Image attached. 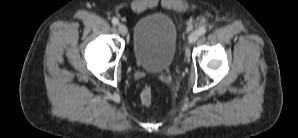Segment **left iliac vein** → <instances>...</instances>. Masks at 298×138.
Instances as JSON below:
<instances>
[{
  "instance_id": "left-iliac-vein-1",
  "label": "left iliac vein",
  "mask_w": 298,
  "mask_h": 138,
  "mask_svg": "<svg viewBox=\"0 0 298 138\" xmlns=\"http://www.w3.org/2000/svg\"><path fill=\"white\" fill-rule=\"evenodd\" d=\"M199 38V32L198 31H193L189 37H188V42L190 44H193L197 41V39Z\"/></svg>"
}]
</instances>
